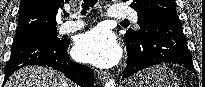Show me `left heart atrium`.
I'll use <instances>...</instances> for the list:
<instances>
[{
  "label": "left heart atrium",
  "instance_id": "obj_1",
  "mask_svg": "<svg viewBox=\"0 0 205 87\" xmlns=\"http://www.w3.org/2000/svg\"><path fill=\"white\" fill-rule=\"evenodd\" d=\"M75 57L98 67H110L120 58V47L114 35L102 28L82 34L74 47Z\"/></svg>",
  "mask_w": 205,
  "mask_h": 87
}]
</instances>
